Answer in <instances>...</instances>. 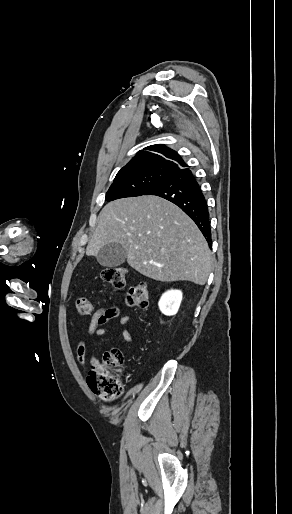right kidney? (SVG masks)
Instances as JSON below:
<instances>
[{
    "label": "right kidney",
    "instance_id": "obj_1",
    "mask_svg": "<svg viewBox=\"0 0 292 514\" xmlns=\"http://www.w3.org/2000/svg\"><path fill=\"white\" fill-rule=\"evenodd\" d=\"M181 300L182 292L180 290H168L161 296L158 306L165 316H175L179 310Z\"/></svg>",
    "mask_w": 292,
    "mask_h": 514
}]
</instances>
